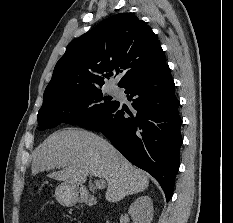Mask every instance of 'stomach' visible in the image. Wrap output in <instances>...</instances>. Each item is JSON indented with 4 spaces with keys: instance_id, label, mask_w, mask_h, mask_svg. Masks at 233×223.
<instances>
[{
    "instance_id": "1",
    "label": "stomach",
    "mask_w": 233,
    "mask_h": 223,
    "mask_svg": "<svg viewBox=\"0 0 233 223\" xmlns=\"http://www.w3.org/2000/svg\"><path fill=\"white\" fill-rule=\"evenodd\" d=\"M58 203L65 207H72L79 201V197H85L86 191L80 193L78 185L75 183H59L54 193Z\"/></svg>"
}]
</instances>
